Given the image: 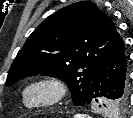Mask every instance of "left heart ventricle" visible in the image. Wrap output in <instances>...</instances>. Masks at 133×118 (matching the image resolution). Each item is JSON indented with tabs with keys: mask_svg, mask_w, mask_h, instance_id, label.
<instances>
[{
	"mask_svg": "<svg viewBox=\"0 0 133 118\" xmlns=\"http://www.w3.org/2000/svg\"><path fill=\"white\" fill-rule=\"evenodd\" d=\"M47 95L46 91L41 88H34L29 91L27 97L30 102H36L41 100Z\"/></svg>",
	"mask_w": 133,
	"mask_h": 118,
	"instance_id": "left-heart-ventricle-1",
	"label": "left heart ventricle"
}]
</instances>
